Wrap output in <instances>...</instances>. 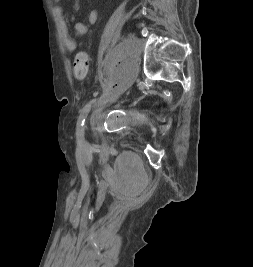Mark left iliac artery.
Here are the masks:
<instances>
[{"mask_svg":"<svg viewBox=\"0 0 253 267\" xmlns=\"http://www.w3.org/2000/svg\"><path fill=\"white\" fill-rule=\"evenodd\" d=\"M95 101H96L95 99L90 101L81 110V113L79 115L78 122H77V135L78 136H80L83 133L85 119L91 109L92 104L95 103Z\"/></svg>","mask_w":253,"mask_h":267,"instance_id":"left-iliac-artery-1","label":"left iliac artery"}]
</instances>
